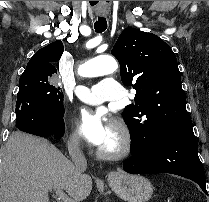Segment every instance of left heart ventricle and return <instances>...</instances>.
<instances>
[{
	"mask_svg": "<svg viewBox=\"0 0 209 202\" xmlns=\"http://www.w3.org/2000/svg\"><path fill=\"white\" fill-rule=\"evenodd\" d=\"M120 138H119V133L117 129L113 126L109 136L105 140V142L102 144L100 149L111 151L114 150L118 144H119Z\"/></svg>",
	"mask_w": 209,
	"mask_h": 202,
	"instance_id": "b2bd125f",
	"label": "left heart ventricle"
}]
</instances>
